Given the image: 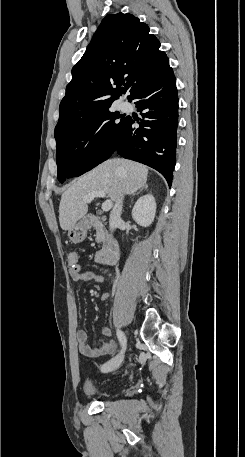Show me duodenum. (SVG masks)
<instances>
[{
    "label": "duodenum",
    "instance_id": "410a0bca",
    "mask_svg": "<svg viewBox=\"0 0 245 457\" xmlns=\"http://www.w3.org/2000/svg\"><path fill=\"white\" fill-rule=\"evenodd\" d=\"M106 220L105 216H93L89 218L90 223H102ZM119 246L112 240L96 254V261L103 265H112L119 260Z\"/></svg>",
    "mask_w": 245,
    "mask_h": 457
}]
</instances>
